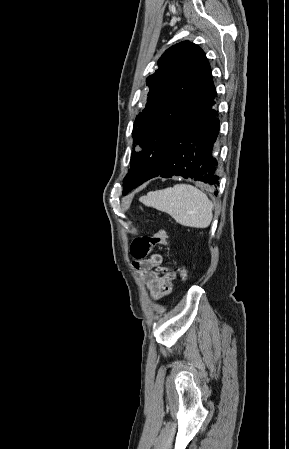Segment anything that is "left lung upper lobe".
<instances>
[{
	"label": "left lung upper lobe",
	"instance_id": "left-lung-upper-lobe-1",
	"mask_svg": "<svg viewBox=\"0 0 289 449\" xmlns=\"http://www.w3.org/2000/svg\"><path fill=\"white\" fill-rule=\"evenodd\" d=\"M158 67L146 79L150 89L147 104L134 123V144L142 150L131 155L130 169L123 180L124 195L162 171L165 139L190 116L211 78L205 53L189 41L166 50Z\"/></svg>",
	"mask_w": 289,
	"mask_h": 449
}]
</instances>
